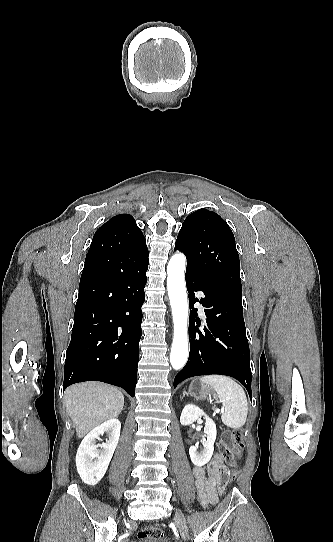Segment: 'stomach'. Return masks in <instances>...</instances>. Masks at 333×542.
<instances>
[{"instance_id": "0dacf381", "label": "stomach", "mask_w": 333, "mask_h": 542, "mask_svg": "<svg viewBox=\"0 0 333 542\" xmlns=\"http://www.w3.org/2000/svg\"><path fill=\"white\" fill-rule=\"evenodd\" d=\"M188 392L190 396L196 398V400H205V398H209V396H213V398L216 396L214 390H210V388L203 386L201 380H192Z\"/></svg>"}]
</instances>
